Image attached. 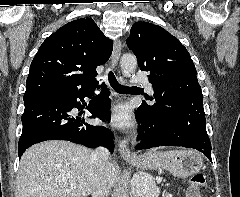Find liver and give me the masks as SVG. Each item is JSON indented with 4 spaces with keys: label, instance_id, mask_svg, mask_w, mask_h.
<instances>
[{
    "label": "liver",
    "instance_id": "1",
    "mask_svg": "<svg viewBox=\"0 0 240 197\" xmlns=\"http://www.w3.org/2000/svg\"><path fill=\"white\" fill-rule=\"evenodd\" d=\"M92 150L68 141L53 140L33 145L20 160L16 197H87L92 193L97 168ZM117 169L108 163L106 180L112 188ZM71 184L77 187L72 189Z\"/></svg>",
    "mask_w": 240,
    "mask_h": 197
}]
</instances>
